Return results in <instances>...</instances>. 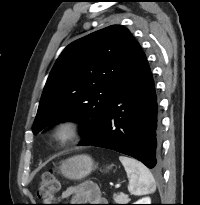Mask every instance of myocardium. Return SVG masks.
<instances>
[{"label": "myocardium", "mask_w": 200, "mask_h": 205, "mask_svg": "<svg viewBox=\"0 0 200 205\" xmlns=\"http://www.w3.org/2000/svg\"><path fill=\"white\" fill-rule=\"evenodd\" d=\"M81 134L80 123L73 118H63L57 121L52 130L53 140L60 145H67L74 142Z\"/></svg>", "instance_id": "1"}]
</instances>
